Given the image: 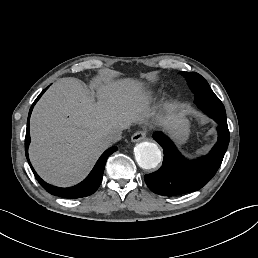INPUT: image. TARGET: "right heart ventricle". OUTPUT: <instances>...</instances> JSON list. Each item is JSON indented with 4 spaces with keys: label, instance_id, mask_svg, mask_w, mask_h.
<instances>
[{
    "label": "right heart ventricle",
    "instance_id": "1",
    "mask_svg": "<svg viewBox=\"0 0 258 258\" xmlns=\"http://www.w3.org/2000/svg\"><path fill=\"white\" fill-rule=\"evenodd\" d=\"M151 101H152V95H149V96L146 98L144 104H145V105H149V104L151 103Z\"/></svg>",
    "mask_w": 258,
    "mask_h": 258
}]
</instances>
